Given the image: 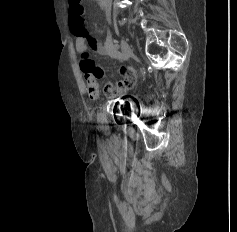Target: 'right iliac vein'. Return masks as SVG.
<instances>
[{
    "instance_id": "obj_1",
    "label": "right iliac vein",
    "mask_w": 237,
    "mask_h": 232,
    "mask_svg": "<svg viewBox=\"0 0 237 232\" xmlns=\"http://www.w3.org/2000/svg\"><path fill=\"white\" fill-rule=\"evenodd\" d=\"M121 48L123 59L127 60L132 54L131 48L125 40H121Z\"/></svg>"
}]
</instances>
